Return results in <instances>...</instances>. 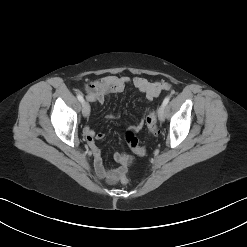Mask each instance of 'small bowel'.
Wrapping results in <instances>:
<instances>
[{
    "instance_id": "obj_1",
    "label": "small bowel",
    "mask_w": 247,
    "mask_h": 247,
    "mask_svg": "<svg viewBox=\"0 0 247 247\" xmlns=\"http://www.w3.org/2000/svg\"><path fill=\"white\" fill-rule=\"evenodd\" d=\"M128 84H132L137 90L143 93L148 100L154 99L162 91L170 88L169 84L165 82H150L145 78L138 76L130 78L128 76L106 75L86 84L84 90L88 101L103 103L108 95L123 92ZM114 117L115 116L113 115L110 116V118ZM142 127L143 121L132 129L140 130ZM83 133L86 136L89 147L92 151L94 168L98 176L110 184L118 182L120 175L123 172H126V168L132 163L133 158L128 154L116 152L113 158L122 166L118 169H108L104 166L101 157V150L95 143V140H102L105 135L102 132H95L89 126L84 127Z\"/></svg>"
}]
</instances>
